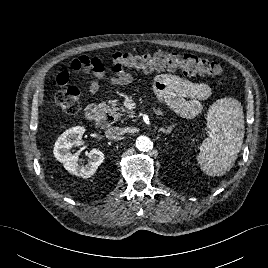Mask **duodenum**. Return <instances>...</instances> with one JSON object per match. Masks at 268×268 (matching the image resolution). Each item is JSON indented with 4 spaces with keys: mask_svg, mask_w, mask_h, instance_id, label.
I'll return each mask as SVG.
<instances>
[{
    "mask_svg": "<svg viewBox=\"0 0 268 268\" xmlns=\"http://www.w3.org/2000/svg\"><path fill=\"white\" fill-rule=\"evenodd\" d=\"M88 119L96 121L100 128H108L113 121V115L101 106L91 105L86 110Z\"/></svg>",
    "mask_w": 268,
    "mask_h": 268,
    "instance_id": "1",
    "label": "duodenum"
}]
</instances>
